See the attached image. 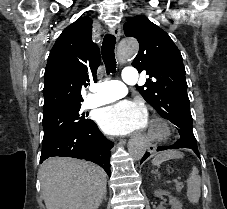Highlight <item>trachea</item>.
<instances>
[{
  "label": "trachea",
  "mask_w": 227,
  "mask_h": 209,
  "mask_svg": "<svg viewBox=\"0 0 227 209\" xmlns=\"http://www.w3.org/2000/svg\"><path fill=\"white\" fill-rule=\"evenodd\" d=\"M116 38L108 33L105 35L101 47L102 59L104 61L107 75L116 73V59L114 54Z\"/></svg>",
  "instance_id": "1"
}]
</instances>
